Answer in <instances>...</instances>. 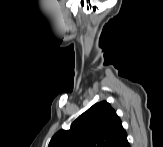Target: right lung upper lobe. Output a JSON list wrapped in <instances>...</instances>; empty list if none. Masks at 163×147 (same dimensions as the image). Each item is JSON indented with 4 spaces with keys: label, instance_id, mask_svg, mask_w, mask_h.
<instances>
[{
    "label": "right lung upper lobe",
    "instance_id": "1",
    "mask_svg": "<svg viewBox=\"0 0 163 147\" xmlns=\"http://www.w3.org/2000/svg\"><path fill=\"white\" fill-rule=\"evenodd\" d=\"M125 134L115 110L101 101L81 114L69 129L58 131L48 147H113Z\"/></svg>",
    "mask_w": 163,
    "mask_h": 147
}]
</instances>
